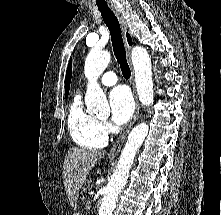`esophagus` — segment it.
I'll return each instance as SVG.
<instances>
[{"instance_id": "34e87169", "label": "esophagus", "mask_w": 221, "mask_h": 215, "mask_svg": "<svg viewBox=\"0 0 221 215\" xmlns=\"http://www.w3.org/2000/svg\"><path fill=\"white\" fill-rule=\"evenodd\" d=\"M111 9L115 13V15H116V17H117V19H118V21L120 23L122 32H123V34L125 36L128 27H127V23H126L123 15H122V13L119 11V9L116 6L111 5ZM125 47H126V51H127L128 63H129V66H130V69H131V72H132V89H133V95H134V99H135V111H134V114H133V116L131 118V121H130L128 127L119 136V138L117 139L116 143L111 148V150L109 152V156H111V157H115V156L118 155V153L120 152L121 147H122V145H123L127 135L129 134L132 126L134 125V123L136 122V120L140 116V103H139L138 95H137V92H136V87H135V84H134V75H133L134 74V70H133V66H132V62H131V58H130V47L127 44L126 41H125Z\"/></svg>"}]
</instances>
